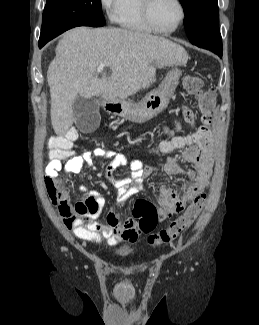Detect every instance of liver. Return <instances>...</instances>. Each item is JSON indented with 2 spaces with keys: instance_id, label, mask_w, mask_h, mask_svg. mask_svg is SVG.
Listing matches in <instances>:
<instances>
[{
  "instance_id": "6515ba94",
  "label": "liver",
  "mask_w": 259,
  "mask_h": 325,
  "mask_svg": "<svg viewBox=\"0 0 259 325\" xmlns=\"http://www.w3.org/2000/svg\"><path fill=\"white\" fill-rule=\"evenodd\" d=\"M55 52L47 81L51 124L59 136L76 121L72 106L77 95L101 96L108 102L124 99L148 87L156 67L188 61L185 49L164 37L118 28L71 29L59 40ZM101 63L111 70L109 77H97Z\"/></svg>"
}]
</instances>
